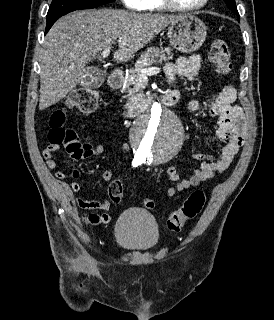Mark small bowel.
I'll list each match as a JSON object with an SVG mask.
<instances>
[{
	"label": "small bowel",
	"mask_w": 274,
	"mask_h": 320,
	"mask_svg": "<svg viewBox=\"0 0 274 320\" xmlns=\"http://www.w3.org/2000/svg\"><path fill=\"white\" fill-rule=\"evenodd\" d=\"M201 59L198 55L189 57H180L173 63L165 66V74L170 83H174L176 77H186L190 81H195L200 72ZM172 92H178L173 89ZM236 99V89L231 82L226 83L222 89L216 94L209 106V114L218 119V128L212 135H208L205 141L211 145H222L221 152L218 155H195V159L200 162V168L196 169L189 177L181 178L178 169L170 166L166 169L167 178L173 183L166 190V196L171 198L177 193L183 192L191 187L207 181L217 174L222 173L234 161L237 153L242 147L246 131L247 121L243 109L234 104ZM189 107L192 111H198L200 105L197 101H191ZM60 145V142H57ZM122 150L128 152L130 146L122 145ZM43 159H51L47 162L50 169H55L57 163L52 159L56 152L55 146H44ZM104 147L101 144L85 145L81 151L71 152L75 158L93 157L103 154ZM55 176L58 179L64 178L63 171H56ZM73 177L78 178L79 172L74 171ZM102 178L106 182H111L114 178L113 171L106 170ZM70 189L74 193H78L75 199L76 205L88 211L89 214H83L82 220L91 225L106 224L111 221L108 213H97L98 211L106 212L110 209V202L107 200H89L81 192L80 183L74 181L70 184Z\"/></svg>",
	"instance_id": "1"
}]
</instances>
